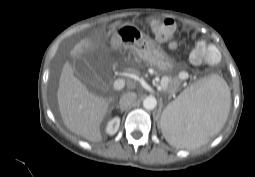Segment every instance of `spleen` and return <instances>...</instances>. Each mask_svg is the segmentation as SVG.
<instances>
[{
	"label": "spleen",
	"instance_id": "3e777b00",
	"mask_svg": "<svg viewBox=\"0 0 255 177\" xmlns=\"http://www.w3.org/2000/svg\"><path fill=\"white\" fill-rule=\"evenodd\" d=\"M231 106L227 83L217 75L205 77L184 90L161 116L167 142L179 148L205 144L225 124Z\"/></svg>",
	"mask_w": 255,
	"mask_h": 177
}]
</instances>
